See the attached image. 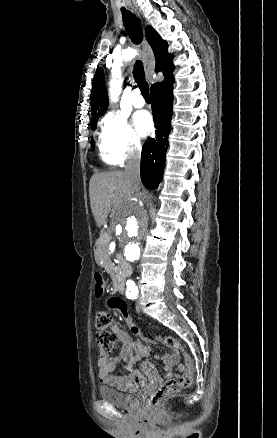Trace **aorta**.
<instances>
[{
  "mask_svg": "<svg viewBox=\"0 0 277 438\" xmlns=\"http://www.w3.org/2000/svg\"><path fill=\"white\" fill-rule=\"evenodd\" d=\"M136 50L128 48L122 52V56L115 58L112 67V80L110 82V97L116 101L121 91V66L124 61L130 60L136 55ZM150 226V220L144 205L138 200H132L122 205L115 213L114 237L123 257L134 262L141 256L143 242L145 241ZM126 293L138 292L136 284L132 280L126 283Z\"/></svg>",
  "mask_w": 277,
  "mask_h": 438,
  "instance_id": "762f6f07",
  "label": "aorta"
}]
</instances>
